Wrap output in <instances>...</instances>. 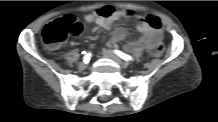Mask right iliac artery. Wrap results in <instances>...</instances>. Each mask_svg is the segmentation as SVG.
Listing matches in <instances>:
<instances>
[{"mask_svg": "<svg viewBox=\"0 0 218 122\" xmlns=\"http://www.w3.org/2000/svg\"><path fill=\"white\" fill-rule=\"evenodd\" d=\"M91 55H92V54H91L90 52L85 54V56L83 57V60H84L85 63L90 60Z\"/></svg>", "mask_w": 218, "mask_h": 122, "instance_id": "right-iliac-artery-1", "label": "right iliac artery"}]
</instances>
